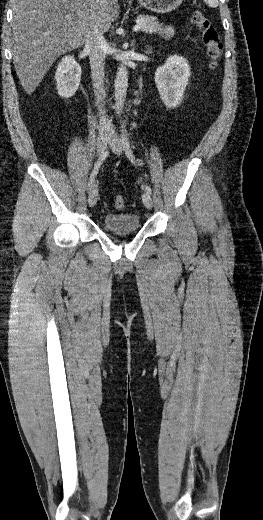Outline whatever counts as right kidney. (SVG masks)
I'll use <instances>...</instances> for the list:
<instances>
[{
    "label": "right kidney",
    "instance_id": "obj_1",
    "mask_svg": "<svg viewBox=\"0 0 263 520\" xmlns=\"http://www.w3.org/2000/svg\"><path fill=\"white\" fill-rule=\"evenodd\" d=\"M81 73V67L73 56L62 58L55 73L57 92L60 97L68 99L75 94L80 84Z\"/></svg>",
    "mask_w": 263,
    "mask_h": 520
}]
</instances>
